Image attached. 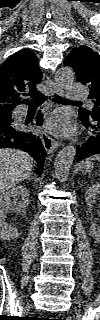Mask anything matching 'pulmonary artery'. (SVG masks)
I'll return each instance as SVG.
<instances>
[{"instance_id":"obj_1","label":"pulmonary artery","mask_w":100,"mask_h":320,"mask_svg":"<svg viewBox=\"0 0 100 320\" xmlns=\"http://www.w3.org/2000/svg\"><path fill=\"white\" fill-rule=\"evenodd\" d=\"M69 89L71 91L69 99L71 100H85L88 97L87 89L80 84H72Z\"/></svg>"}]
</instances>
